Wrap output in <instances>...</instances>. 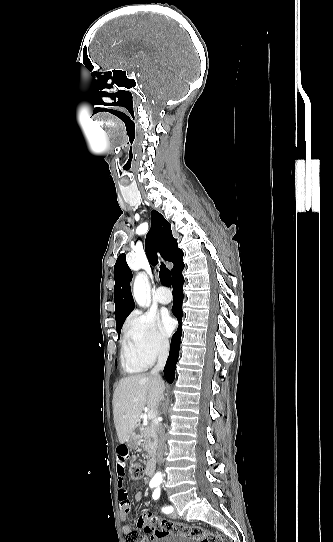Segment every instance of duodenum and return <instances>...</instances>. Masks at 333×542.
Returning a JSON list of instances; mask_svg holds the SVG:
<instances>
[{
  "label": "duodenum",
  "mask_w": 333,
  "mask_h": 542,
  "mask_svg": "<svg viewBox=\"0 0 333 542\" xmlns=\"http://www.w3.org/2000/svg\"><path fill=\"white\" fill-rule=\"evenodd\" d=\"M145 472H146V475L149 476V477L153 475V472H154V462H153V460H149L147 462Z\"/></svg>",
  "instance_id": "410a0bca"
}]
</instances>
